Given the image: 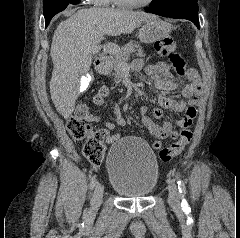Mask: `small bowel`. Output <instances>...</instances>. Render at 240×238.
<instances>
[{"label":"small bowel","instance_id":"c3829d8e","mask_svg":"<svg viewBox=\"0 0 240 238\" xmlns=\"http://www.w3.org/2000/svg\"><path fill=\"white\" fill-rule=\"evenodd\" d=\"M132 67L134 70L139 71L142 69L143 63L140 60H136L132 63ZM146 72L155 78V88L159 91L157 98L159 107H155L153 110L154 118L162 119L164 117L161 108L175 112H184V116L181 119L166 120L161 125H158L148 116V108L146 106L140 108L139 113L143 124L156 138L152 143V147L159 148L163 140L177 136L174 125L188 128L194 121L197 114L198 96L201 93V81L198 72L194 69H190L184 79L174 78L170 73V66L166 62L150 65L146 68ZM180 87H182V98L179 100L172 99L164 94L165 91L175 90ZM109 94L110 88L108 86L100 87L97 94L93 97V103L97 106H102ZM113 111V119L105 123V138L108 144L115 143L120 139V135L112 131L125 124V120L116 104L113 107ZM86 121L98 123L101 121V118L98 115L89 113Z\"/></svg>","mask_w":240,"mask_h":238}]
</instances>
